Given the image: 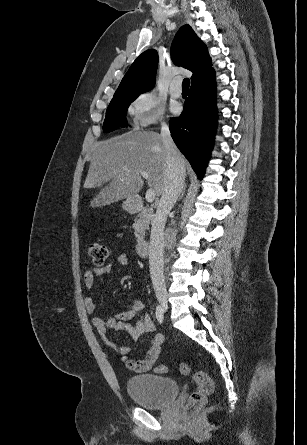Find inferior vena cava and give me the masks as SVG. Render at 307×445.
Wrapping results in <instances>:
<instances>
[{
  "instance_id": "602c4592",
  "label": "inferior vena cava",
  "mask_w": 307,
  "mask_h": 445,
  "mask_svg": "<svg viewBox=\"0 0 307 445\" xmlns=\"http://www.w3.org/2000/svg\"><path fill=\"white\" fill-rule=\"evenodd\" d=\"M166 150L165 178L162 186L161 198L153 218L150 247L149 269L155 295L161 304L167 301V291L164 281L163 253L164 229L167 214L180 196L185 180V164L169 130L168 124L162 120L160 132Z\"/></svg>"
}]
</instances>
